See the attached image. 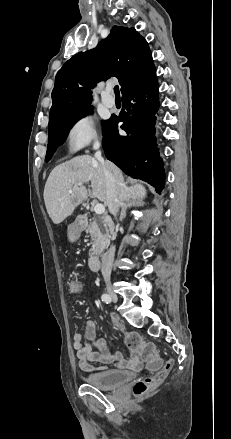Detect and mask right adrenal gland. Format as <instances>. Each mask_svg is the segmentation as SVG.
<instances>
[{
  "label": "right adrenal gland",
  "mask_w": 231,
  "mask_h": 439,
  "mask_svg": "<svg viewBox=\"0 0 231 439\" xmlns=\"http://www.w3.org/2000/svg\"><path fill=\"white\" fill-rule=\"evenodd\" d=\"M143 204L142 199H130L127 200L125 203L122 204V210H121V214H120V218L119 220L122 221L125 217H126V210L127 208H130L132 206H140Z\"/></svg>",
  "instance_id": "2a0ac1e0"
}]
</instances>
